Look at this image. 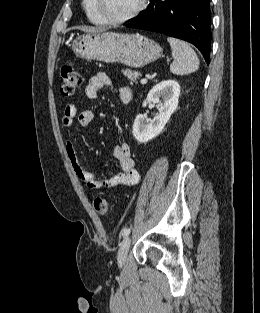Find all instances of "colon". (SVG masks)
I'll use <instances>...</instances> for the list:
<instances>
[{
	"label": "colon",
	"instance_id": "obj_1",
	"mask_svg": "<svg viewBox=\"0 0 260 313\" xmlns=\"http://www.w3.org/2000/svg\"><path fill=\"white\" fill-rule=\"evenodd\" d=\"M83 84V77L73 62H66L61 68V93L70 97L74 95ZM94 209L102 216L110 212V205L103 197H96L93 202Z\"/></svg>",
	"mask_w": 260,
	"mask_h": 313
}]
</instances>
